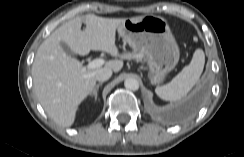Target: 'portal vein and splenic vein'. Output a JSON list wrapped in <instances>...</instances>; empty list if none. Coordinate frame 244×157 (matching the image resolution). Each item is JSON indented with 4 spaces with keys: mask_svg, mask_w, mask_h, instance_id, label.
<instances>
[{
    "mask_svg": "<svg viewBox=\"0 0 244 157\" xmlns=\"http://www.w3.org/2000/svg\"><path fill=\"white\" fill-rule=\"evenodd\" d=\"M104 64V60L99 58V59H94L92 61H90L87 66L85 67V69L87 70H92V69H96L101 67Z\"/></svg>",
    "mask_w": 244,
    "mask_h": 157,
    "instance_id": "portal-vein-and-splenic-vein-1",
    "label": "portal vein and splenic vein"
}]
</instances>
